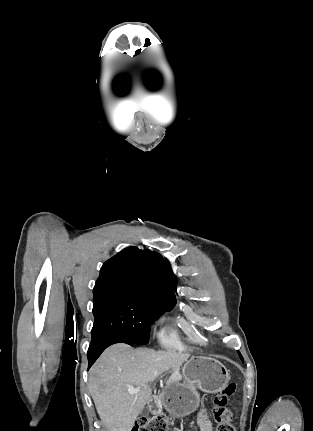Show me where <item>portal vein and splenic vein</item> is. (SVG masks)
I'll use <instances>...</instances> for the list:
<instances>
[{
    "instance_id": "18ae733b",
    "label": "portal vein and splenic vein",
    "mask_w": 313,
    "mask_h": 431,
    "mask_svg": "<svg viewBox=\"0 0 313 431\" xmlns=\"http://www.w3.org/2000/svg\"><path fill=\"white\" fill-rule=\"evenodd\" d=\"M140 390H141L140 388H132V387L128 388V392L130 394H137L140 392Z\"/></svg>"
}]
</instances>
